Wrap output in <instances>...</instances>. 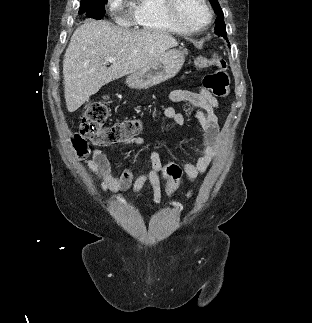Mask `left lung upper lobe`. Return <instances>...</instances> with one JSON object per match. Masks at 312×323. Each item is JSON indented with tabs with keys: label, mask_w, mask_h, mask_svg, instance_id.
I'll return each mask as SVG.
<instances>
[{
	"label": "left lung upper lobe",
	"mask_w": 312,
	"mask_h": 323,
	"mask_svg": "<svg viewBox=\"0 0 312 323\" xmlns=\"http://www.w3.org/2000/svg\"><path fill=\"white\" fill-rule=\"evenodd\" d=\"M209 1L211 3V6L214 9L215 13L218 14V17L216 20L215 33L218 36H222L225 39H227L226 26L224 23V15H223L222 9L218 3V0H209Z\"/></svg>",
	"instance_id": "1"
}]
</instances>
